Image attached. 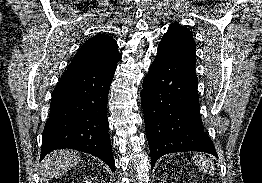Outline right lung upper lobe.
I'll use <instances>...</instances> for the list:
<instances>
[{
    "mask_svg": "<svg viewBox=\"0 0 262 183\" xmlns=\"http://www.w3.org/2000/svg\"><path fill=\"white\" fill-rule=\"evenodd\" d=\"M121 59L117 42L109 35L97 34L88 39L72 59L68 69H103Z\"/></svg>",
    "mask_w": 262,
    "mask_h": 183,
    "instance_id": "cb5924a9",
    "label": "right lung upper lobe"
}]
</instances>
